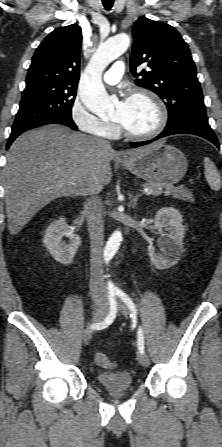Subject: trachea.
Instances as JSON below:
<instances>
[{
	"label": "trachea",
	"mask_w": 222,
	"mask_h": 447,
	"mask_svg": "<svg viewBox=\"0 0 222 447\" xmlns=\"http://www.w3.org/2000/svg\"><path fill=\"white\" fill-rule=\"evenodd\" d=\"M102 3L107 10H110L113 6L114 0H102Z\"/></svg>",
	"instance_id": "obj_1"
}]
</instances>
